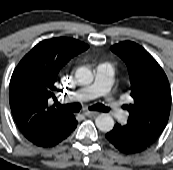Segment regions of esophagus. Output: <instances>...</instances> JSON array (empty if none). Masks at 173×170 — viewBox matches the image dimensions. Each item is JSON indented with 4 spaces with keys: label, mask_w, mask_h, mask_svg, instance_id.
<instances>
[{
    "label": "esophagus",
    "mask_w": 173,
    "mask_h": 170,
    "mask_svg": "<svg viewBox=\"0 0 173 170\" xmlns=\"http://www.w3.org/2000/svg\"><path fill=\"white\" fill-rule=\"evenodd\" d=\"M99 114V112L97 111H84V115L87 117H94L97 116Z\"/></svg>",
    "instance_id": "34e87169"
}]
</instances>
